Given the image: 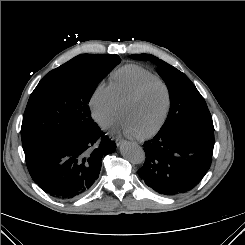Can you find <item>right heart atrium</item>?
Here are the masks:
<instances>
[{
	"label": "right heart atrium",
	"mask_w": 245,
	"mask_h": 245,
	"mask_svg": "<svg viewBox=\"0 0 245 245\" xmlns=\"http://www.w3.org/2000/svg\"><path fill=\"white\" fill-rule=\"evenodd\" d=\"M94 120L102 127L108 126L116 117L118 103L113 95L110 84L101 81L95 87L89 101Z\"/></svg>",
	"instance_id": "d8ad5b80"
}]
</instances>
